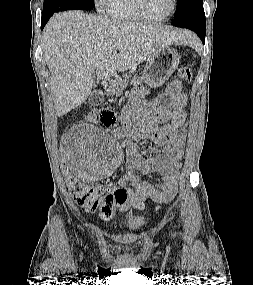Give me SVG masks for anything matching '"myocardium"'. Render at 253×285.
<instances>
[{
  "label": "myocardium",
  "mask_w": 253,
  "mask_h": 285,
  "mask_svg": "<svg viewBox=\"0 0 253 285\" xmlns=\"http://www.w3.org/2000/svg\"><path fill=\"white\" fill-rule=\"evenodd\" d=\"M136 5H137V9L140 13V15L148 21H153V22H162L165 21L167 19H169L175 12L178 6V0H173V5L172 8L170 10V12L163 16V17H152L150 16L145 9V1L144 0H136Z\"/></svg>",
  "instance_id": "myocardium-1"
}]
</instances>
